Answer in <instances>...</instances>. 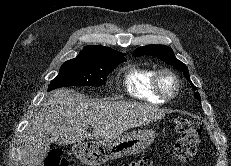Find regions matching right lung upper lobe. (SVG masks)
Here are the masks:
<instances>
[{"label": "right lung upper lobe", "instance_id": "right-lung-upper-lobe-1", "mask_svg": "<svg viewBox=\"0 0 231 166\" xmlns=\"http://www.w3.org/2000/svg\"><path fill=\"white\" fill-rule=\"evenodd\" d=\"M116 54L123 53L113 50L110 47L91 45L85 46L77 57L102 58L104 56H111Z\"/></svg>", "mask_w": 231, "mask_h": 166}]
</instances>
